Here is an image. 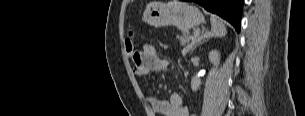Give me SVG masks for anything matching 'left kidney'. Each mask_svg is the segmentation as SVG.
I'll use <instances>...</instances> for the list:
<instances>
[{"label": "left kidney", "mask_w": 305, "mask_h": 116, "mask_svg": "<svg viewBox=\"0 0 305 116\" xmlns=\"http://www.w3.org/2000/svg\"><path fill=\"white\" fill-rule=\"evenodd\" d=\"M209 60L213 65L218 66L220 63V53L217 50H212L209 53ZM200 85H201V80L198 77L194 76L191 80L192 90L194 92L197 91Z\"/></svg>", "instance_id": "1"}]
</instances>
